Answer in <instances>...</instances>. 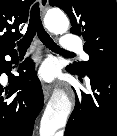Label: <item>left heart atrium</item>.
Wrapping results in <instances>:
<instances>
[{"label": "left heart atrium", "instance_id": "1", "mask_svg": "<svg viewBox=\"0 0 117 136\" xmlns=\"http://www.w3.org/2000/svg\"><path fill=\"white\" fill-rule=\"evenodd\" d=\"M37 73L42 80H44L46 82H50L55 77L56 68H55L53 62L47 60L41 64Z\"/></svg>", "mask_w": 117, "mask_h": 136}]
</instances>
